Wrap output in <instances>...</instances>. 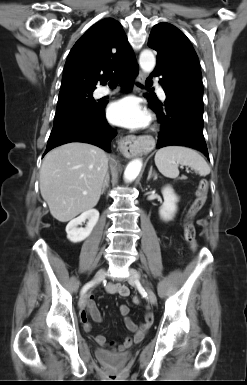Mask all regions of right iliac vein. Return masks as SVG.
<instances>
[{
    "instance_id": "right-iliac-vein-1",
    "label": "right iliac vein",
    "mask_w": 247,
    "mask_h": 385,
    "mask_svg": "<svg viewBox=\"0 0 247 385\" xmlns=\"http://www.w3.org/2000/svg\"><path fill=\"white\" fill-rule=\"evenodd\" d=\"M104 276H105V270L104 269H100L95 274V276L93 278V282L95 284L101 282L103 280ZM87 298H88V293L87 292L83 293L82 296L80 297V299H79V308L80 309H84L85 308L86 302H87Z\"/></svg>"
}]
</instances>
